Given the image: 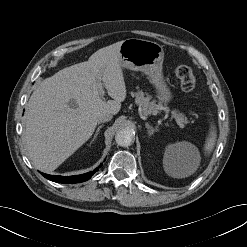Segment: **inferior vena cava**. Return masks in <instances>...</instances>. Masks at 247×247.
<instances>
[{
  "instance_id": "602c4592",
  "label": "inferior vena cava",
  "mask_w": 247,
  "mask_h": 247,
  "mask_svg": "<svg viewBox=\"0 0 247 247\" xmlns=\"http://www.w3.org/2000/svg\"><path fill=\"white\" fill-rule=\"evenodd\" d=\"M112 119V115L111 114H108V113H104V114H100L98 116V123H104V122H108Z\"/></svg>"
}]
</instances>
